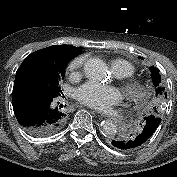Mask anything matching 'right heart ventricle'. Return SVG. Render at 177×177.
I'll return each instance as SVG.
<instances>
[{
  "label": "right heart ventricle",
  "instance_id": "e07e8e85",
  "mask_svg": "<svg viewBox=\"0 0 177 177\" xmlns=\"http://www.w3.org/2000/svg\"><path fill=\"white\" fill-rule=\"evenodd\" d=\"M112 70L120 78L131 77L135 73V67L132 63L118 59L112 62Z\"/></svg>",
  "mask_w": 177,
  "mask_h": 177
}]
</instances>
